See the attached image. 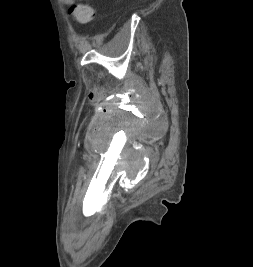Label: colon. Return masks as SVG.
Masks as SVG:
<instances>
[{
	"instance_id": "1",
	"label": "colon",
	"mask_w": 253,
	"mask_h": 267,
	"mask_svg": "<svg viewBox=\"0 0 253 267\" xmlns=\"http://www.w3.org/2000/svg\"><path fill=\"white\" fill-rule=\"evenodd\" d=\"M69 12L80 25L90 24L95 16V10L89 4L73 5L69 9Z\"/></svg>"
}]
</instances>
